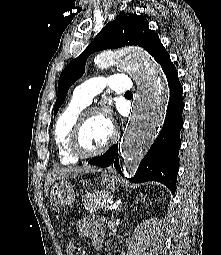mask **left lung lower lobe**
<instances>
[{
    "label": "left lung lower lobe",
    "instance_id": "1",
    "mask_svg": "<svg viewBox=\"0 0 221 255\" xmlns=\"http://www.w3.org/2000/svg\"><path fill=\"white\" fill-rule=\"evenodd\" d=\"M154 59L161 65L167 77L170 90L169 104L160 134L130 181L134 183L158 181L166 185L174 194L176 176L179 170L180 130L183 126V90L178 80L177 70L164 47L159 50ZM117 148L118 144L109 148L102 156L91 159L88 163L100 167H108L114 164L115 168L121 173Z\"/></svg>",
    "mask_w": 221,
    "mask_h": 255
}]
</instances>
